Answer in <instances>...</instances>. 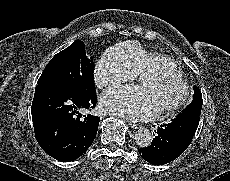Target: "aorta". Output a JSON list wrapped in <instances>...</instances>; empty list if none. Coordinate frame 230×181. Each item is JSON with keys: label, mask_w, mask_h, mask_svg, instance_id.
Instances as JSON below:
<instances>
[{"label": "aorta", "mask_w": 230, "mask_h": 181, "mask_svg": "<svg viewBox=\"0 0 230 181\" xmlns=\"http://www.w3.org/2000/svg\"><path fill=\"white\" fill-rule=\"evenodd\" d=\"M136 144L141 148L149 147L153 140V135L146 128H139L134 136Z\"/></svg>", "instance_id": "1"}]
</instances>
